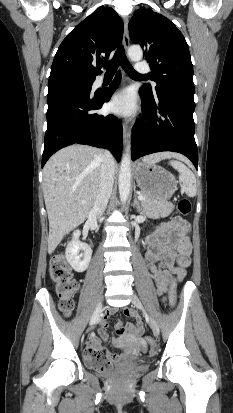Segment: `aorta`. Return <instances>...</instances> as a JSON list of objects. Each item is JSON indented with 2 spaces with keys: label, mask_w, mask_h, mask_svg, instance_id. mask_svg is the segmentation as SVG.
<instances>
[{
  "label": "aorta",
  "mask_w": 233,
  "mask_h": 413,
  "mask_svg": "<svg viewBox=\"0 0 233 413\" xmlns=\"http://www.w3.org/2000/svg\"><path fill=\"white\" fill-rule=\"evenodd\" d=\"M128 56L132 61H140L143 57V51L140 46H131L128 49ZM118 188L120 201L125 204L131 188V157L128 151L122 156Z\"/></svg>",
  "instance_id": "1"
}]
</instances>
